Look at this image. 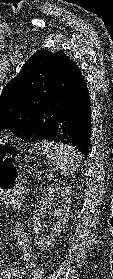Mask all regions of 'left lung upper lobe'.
I'll list each match as a JSON object with an SVG mask.
<instances>
[{
  "label": "left lung upper lobe",
  "instance_id": "obj_1",
  "mask_svg": "<svg viewBox=\"0 0 113 279\" xmlns=\"http://www.w3.org/2000/svg\"><path fill=\"white\" fill-rule=\"evenodd\" d=\"M70 58L63 51L40 50L23 65L0 96V131L9 129L17 137L28 128L39 101L64 71Z\"/></svg>",
  "mask_w": 113,
  "mask_h": 279
}]
</instances>
